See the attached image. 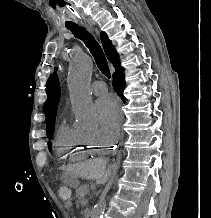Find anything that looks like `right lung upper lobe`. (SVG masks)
I'll return each instance as SVG.
<instances>
[{"mask_svg":"<svg viewBox=\"0 0 211 218\" xmlns=\"http://www.w3.org/2000/svg\"><path fill=\"white\" fill-rule=\"evenodd\" d=\"M101 42L106 53L107 58L112 62V64H117L119 62V55L116 53L112 42L108 39L106 33H101ZM60 99V85L57 76H54L52 92L49 96V114L47 120V135H51L54 131L56 111Z\"/></svg>","mask_w":211,"mask_h":218,"instance_id":"cb5924a9","label":"right lung upper lobe"}]
</instances>
